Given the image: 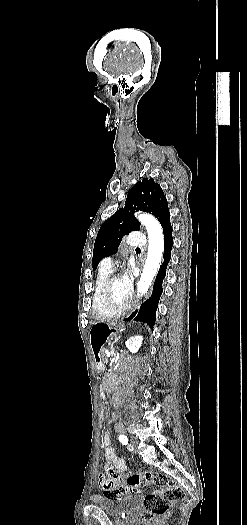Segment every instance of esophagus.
I'll use <instances>...</instances> for the list:
<instances>
[{"label":"esophagus","mask_w":247,"mask_h":525,"mask_svg":"<svg viewBox=\"0 0 247 525\" xmlns=\"http://www.w3.org/2000/svg\"><path fill=\"white\" fill-rule=\"evenodd\" d=\"M144 274H145V269H144V266H139V277H144ZM136 282H139V279H136ZM139 308H140V304L137 303L135 305V307L132 309V311L130 312V317H133L135 318V316L137 315L138 311H139Z\"/></svg>","instance_id":"obj_1"}]
</instances>
